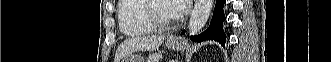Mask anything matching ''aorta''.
Masks as SVG:
<instances>
[{
  "label": "aorta",
  "mask_w": 331,
  "mask_h": 62,
  "mask_svg": "<svg viewBox=\"0 0 331 62\" xmlns=\"http://www.w3.org/2000/svg\"><path fill=\"white\" fill-rule=\"evenodd\" d=\"M213 2L214 0H195L188 25L190 35L198 34L205 26L212 10Z\"/></svg>",
  "instance_id": "1"
}]
</instances>
